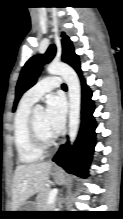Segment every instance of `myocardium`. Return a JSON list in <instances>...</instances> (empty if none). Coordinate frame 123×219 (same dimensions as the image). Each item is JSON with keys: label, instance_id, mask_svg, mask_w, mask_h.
<instances>
[{"label": "myocardium", "instance_id": "1", "mask_svg": "<svg viewBox=\"0 0 123 219\" xmlns=\"http://www.w3.org/2000/svg\"><path fill=\"white\" fill-rule=\"evenodd\" d=\"M29 127H30V134H31L33 144L41 152H44L50 149L56 144L57 136H54L50 140H46L41 136L37 128V125H36L34 113H32L30 116Z\"/></svg>", "mask_w": 123, "mask_h": 219}]
</instances>
